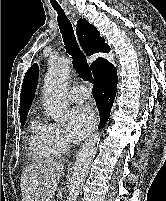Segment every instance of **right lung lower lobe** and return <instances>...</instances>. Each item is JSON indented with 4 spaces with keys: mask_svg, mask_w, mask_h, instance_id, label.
Returning a JSON list of instances; mask_svg holds the SVG:
<instances>
[{
    "mask_svg": "<svg viewBox=\"0 0 166 201\" xmlns=\"http://www.w3.org/2000/svg\"><path fill=\"white\" fill-rule=\"evenodd\" d=\"M94 80L93 95L100 113V129L106 124L115 99L118 83L116 68L110 62L103 64L94 75Z\"/></svg>",
    "mask_w": 166,
    "mask_h": 201,
    "instance_id": "right-lung-lower-lobe-1",
    "label": "right lung lower lobe"
}]
</instances>
